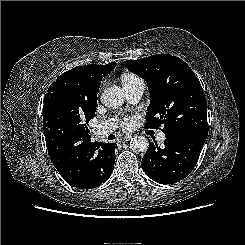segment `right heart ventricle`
<instances>
[{
  "label": "right heart ventricle",
  "instance_id": "1",
  "mask_svg": "<svg viewBox=\"0 0 245 245\" xmlns=\"http://www.w3.org/2000/svg\"><path fill=\"white\" fill-rule=\"evenodd\" d=\"M138 80H140V78L137 75H135L134 73H123L121 75V81H122L124 88L132 85L133 83H135Z\"/></svg>",
  "mask_w": 245,
  "mask_h": 245
}]
</instances>
